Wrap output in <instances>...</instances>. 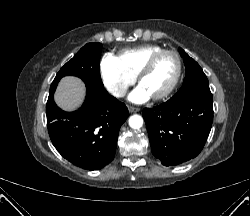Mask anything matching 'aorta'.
<instances>
[{
  "label": "aorta",
  "mask_w": 250,
  "mask_h": 216,
  "mask_svg": "<svg viewBox=\"0 0 250 216\" xmlns=\"http://www.w3.org/2000/svg\"><path fill=\"white\" fill-rule=\"evenodd\" d=\"M143 125V118L140 116V115H132L130 118H129V126L132 128V129H139L141 128Z\"/></svg>",
  "instance_id": "obj_1"
}]
</instances>
